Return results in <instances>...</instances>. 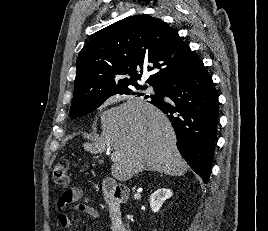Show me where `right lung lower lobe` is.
<instances>
[{"label":"right lung lower lobe","instance_id":"98d812e1","mask_svg":"<svg viewBox=\"0 0 268 231\" xmlns=\"http://www.w3.org/2000/svg\"><path fill=\"white\" fill-rule=\"evenodd\" d=\"M150 103L167 115L181 155L208 182L218 124V95L203 62L195 70L166 81L160 86V96Z\"/></svg>","mask_w":268,"mask_h":231}]
</instances>
